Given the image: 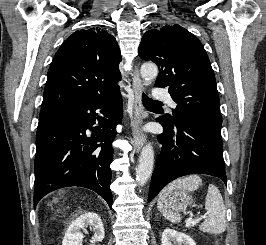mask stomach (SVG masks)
<instances>
[{"label": "stomach", "mask_w": 266, "mask_h": 245, "mask_svg": "<svg viewBox=\"0 0 266 245\" xmlns=\"http://www.w3.org/2000/svg\"><path fill=\"white\" fill-rule=\"evenodd\" d=\"M194 199L192 195H189L188 191H173L170 195H167L163 205H165L167 211L171 213H181V211H186L189 205H192Z\"/></svg>", "instance_id": "1"}]
</instances>
